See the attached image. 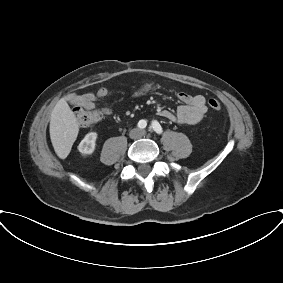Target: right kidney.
<instances>
[{"label":"right kidney","instance_id":"obj_1","mask_svg":"<svg viewBox=\"0 0 283 283\" xmlns=\"http://www.w3.org/2000/svg\"><path fill=\"white\" fill-rule=\"evenodd\" d=\"M97 133L90 132L86 134L84 139L80 142L78 150L83 155H90L94 152L96 146Z\"/></svg>","mask_w":283,"mask_h":283}]
</instances>
